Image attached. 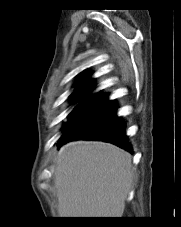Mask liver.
I'll return each instance as SVG.
<instances>
[{"label":"liver","mask_w":181,"mask_h":227,"mask_svg":"<svg viewBox=\"0 0 181 227\" xmlns=\"http://www.w3.org/2000/svg\"><path fill=\"white\" fill-rule=\"evenodd\" d=\"M54 163L60 217H122L133 181L129 153L104 142L74 141Z\"/></svg>","instance_id":"6515ba94"}]
</instances>
